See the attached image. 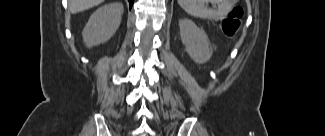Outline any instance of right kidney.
<instances>
[{
	"label": "right kidney",
	"instance_id": "ca27d5eb",
	"mask_svg": "<svg viewBox=\"0 0 325 136\" xmlns=\"http://www.w3.org/2000/svg\"><path fill=\"white\" fill-rule=\"evenodd\" d=\"M123 5L119 2L109 3L98 8L86 24L82 36L87 47L107 42L120 26Z\"/></svg>",
	"mask_w": 325,
	"mask_h": 136
}]
</instances>
